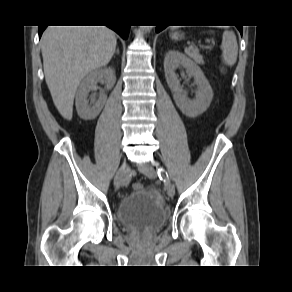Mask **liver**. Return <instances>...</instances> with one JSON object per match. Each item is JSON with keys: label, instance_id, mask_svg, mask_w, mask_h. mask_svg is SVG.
Listing matches in <instances>:
<instances>
[{"label": "liver", "instance_id": "liver-1", "mask_svg": "<svg viewBox=\"0 0 292 292\" xmlns=\"http://www.w3.org/2000/svg\"><path fill=\"white\" fill-rule=\"evenodd\" d=\"M117 39L106 26H49L41 39L46 84L54 105L72 119L75 93L91 71L109 63Z\"/></svg>", "mask_w": 292, "mask_h": 292}]
</instances>
